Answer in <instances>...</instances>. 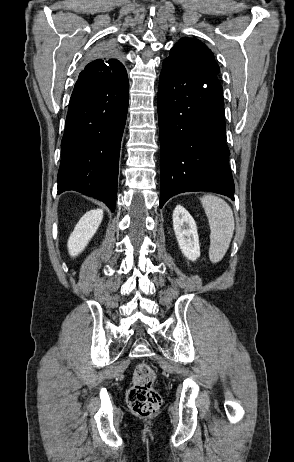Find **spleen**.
<instances>
[{
  "mask_svg": "<svg viewBox=\"0 0 294 462\" xmlns=\"http://www.w3.org/2000/svg\"><path fill=\"white\" fill-rule=\"evenodd\" d=\"M200 200L211 229L209 257L212 262H218L227 252L233 236V212L224 200L216 196L205 195Z\"/></svg>",
  "mask_w": 294,
  "mask_h": 462,
  "instance_id": "1",
  "label": "spleen"
}]
</instances>
